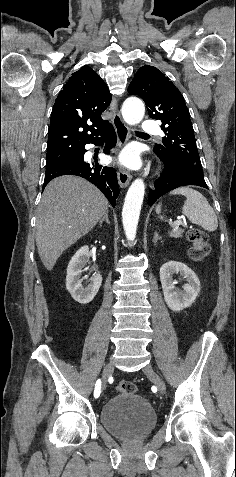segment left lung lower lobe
Instances as JSON below:
<instances>
[{
	"instance_id": "obj_1",
	"label": "left lung lower lobe",
	"mask_w": 236,
	"mask_h": 477,
	"mask_svg": "<svg viewBox=\"0 0 236 477\" xmlns=\"http://www.w3.org/2000/svg\"><path fill=\"white\" fill-rule=\"evenodd\" d=\"M164 163L163 172L149 191V205H153L158 198L180 186L195 185L208 189L204 178L195 176L179 166L169 163L159 156Z\"/></svg>"
}]
</instances>
